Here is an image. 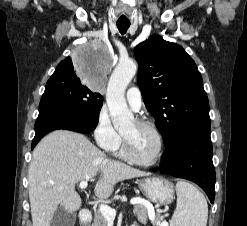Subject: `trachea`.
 <instances>
[{
    "label": "trachea",
    "mask_w": 247,
    "mask_h": 226,
    "mask_svg": "<svg viewBox=\"0 0 247 226\" xmlns=\"http://www.w3.org/2000/svg\"><path fill=\"white\" fill-rule=\"evenodd\" d=\"M130 26V22H117V28L121 34H125Z\"/></svg>",
    "instance_id": "trachea-1"
}]
</instances>
